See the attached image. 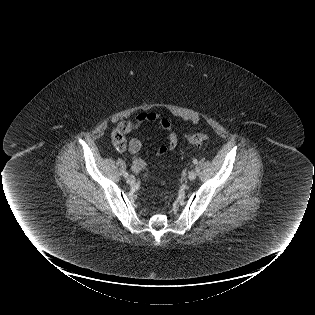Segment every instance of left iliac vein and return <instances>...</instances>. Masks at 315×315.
Masks as SVG:
<instances>
[{
  "instance_id": "1",
  "label": "left iliac vein",
  "mask_w": 315,
  "mask_h": 315,
  "mask_svg": "<svg viewBox=\"0 0 315 315\" xmlns=\"http://www.w3.org/2000/svg\"><path fill=\"white\" fill-rule=\"evenodd\" d=\"M196 176H197V173H196V171H194V170H191V171H189V173H188V179L189 180H194L195 178H196Z\"/></svg>"
}]
</instances>
